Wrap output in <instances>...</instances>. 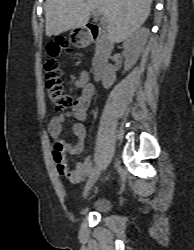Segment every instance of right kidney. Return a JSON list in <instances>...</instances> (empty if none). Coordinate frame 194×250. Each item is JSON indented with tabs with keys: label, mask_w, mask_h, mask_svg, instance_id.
I'll list each match as a JSON object with an SVG mask.
<instances>
[{
	"label": "right kidney",
	"mask_w": 194,
	"mask_h": 250,
	"mask_svg": "<svg viewBox=\"0 0 194 250\" xmlns=\"http://www.w3.org/2000/svg\"><path fill=\"white\" fill-rule=\"evenodd\" d=\"M147 37L148 31L146 29H139L126 39V41H124V56L126 59L124 65L125 71L131 69L139 59L141 52L144 49ZM115 71L116 70L112 65L106 66L102 79L103 87L105 89H109L116 81Z\"/></svg>",
	"instance_id": "1"
}]
</instances>
